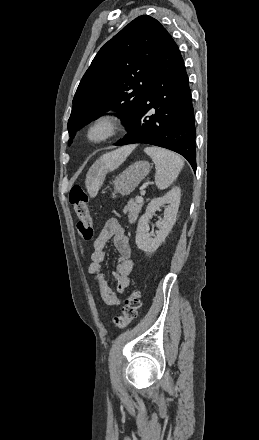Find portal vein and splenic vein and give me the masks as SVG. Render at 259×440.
I'll return each instance as SVG.
<instances>
[{"label": "portal vein and splenic vein", "instance_id": "18ae733b", "mask_svg": "<svg viewBox=\"0 0 259 440\" xmlns=\"http://www.w3.org/2000/svg\"><path fill=\"white\" fill-rule=\"evenodd\" d=\"M144 194H145L144 192H141V196H138L136 200L139 201V202H142L143 201V197L142 196Z\"/></svg>", "mask_w": 259, "mask_h": 440}]
</instances>
